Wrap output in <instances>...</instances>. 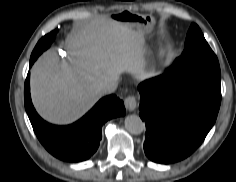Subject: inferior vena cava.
<instances>
[{"label":"inferior vena cava","instance_id":"obj_1","mask_svg":"<svg viewBox=\"0 0 236 182\" xmlns=\"http://www.w3.org/2000/svg\"><path fill=\"white\" fill-rule=\"evenodd\" d=\"M118 80H109L104 82L100 86V92L102 95L111 94L117 89Z\"/></svg>","mask_w":236,"mask_h":182}]
</instances>
